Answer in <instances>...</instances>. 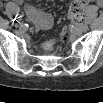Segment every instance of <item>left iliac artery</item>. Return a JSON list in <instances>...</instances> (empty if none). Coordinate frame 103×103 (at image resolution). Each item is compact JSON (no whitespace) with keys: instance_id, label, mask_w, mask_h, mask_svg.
Listing matches in <instances>:
<instances>
[{"instance_id":"obj_1","label":"left iliac artery","mask_w":103,"mask_h":103,"mask_svg":"<svg viewBox=\"0 0 103 103\" xmlns=\"http://www.w3.org/2000/svg\"><path fill=\"white\" fill-rule=\"evenodd\" d=\"M85 23H86V24H90V23H91V19H90L89 17H87V18L85 19Z\"/></svg>"}]
</instances>
